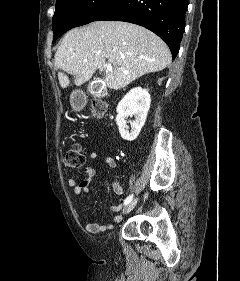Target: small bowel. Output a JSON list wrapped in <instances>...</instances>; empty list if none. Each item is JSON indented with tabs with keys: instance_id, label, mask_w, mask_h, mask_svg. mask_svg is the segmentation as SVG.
Instances as JSON below:
<instances>
[{
	"instance_id": "small-bowel-1",
	"label": "small bowel",
	"mask_w": 240,
	"mask_h": 281,
	"mask_svg": "<svg viewBox=\"0 0 240 281\" xmlns=\"http://www.w3.org/2000/svg\"><path fill=\"white\" fill-rule=\"evenodd\" d=\"M98 156H99V154L97 152H90L88 154V160L94 161L98 158ZM103 160L108 165V167H110V168L116 167V161L112 157H110L108 155H104ZM83 173H84L85 177L82 180L77 181L74 178H70L67 183L68 187L73 190V192L76 196H80L82 193H88L90 191L91 181H92L93 177L95 176L96 171L94 168L88 166L83 170ZM112 188H113V191L117 195H122L124 193V190L118 179L113 180ZM121 207H122V202L119 204L111 205L110 210L112 212H118V211H120ZM120 220H121L120 216L114 217V221L119 222ZM112 227H113L112 224L103 225V224H99V223H87L85 225V229L88 232L93 233V234L107 231L109 229H112Z\"/></svg>"
}]
</instances>
